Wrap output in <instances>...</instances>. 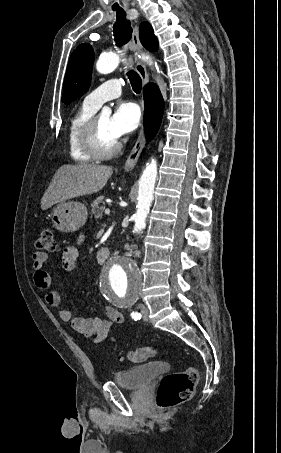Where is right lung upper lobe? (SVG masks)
I'll list each match as a JSON object with an SVG mask.
<instances>
[{
	"instance_id": "cb5924a9",
	"label": "right lung upper lobe",
	"mask_w": 281,
	"mask_h": 453,
	"mask_svg": "<svg viewBox=\"0 0 281 453\" xmlns=\"http://www.w3.org/2000/svg\"><path fill=\"white\" fill-rule=\"evenodd\" d=\"M139 29V37L142 45L150 51H157L158 39L154 35L151 25L148 22H143L141 23Z\"/></svg>"
}]
</instances>
